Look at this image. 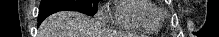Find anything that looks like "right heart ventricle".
<instances>
[{
  "label": "right heart ventricle",
  "mask_w": 219,
  "mask_h": 37,
  "mask_svg": "<svg viewBox=\"0 0 219 37\" xmlns=\"http://www.w3.org/2000/svg\"><path fill=\"white\" fill-rule=\"evenodd\" d=\"M159 7L150 0H122L115 10L113 23L126 30L153 33L159 24Z\"/></svg>",
  "instance_id": "1"
}]
</instances>
